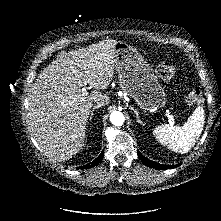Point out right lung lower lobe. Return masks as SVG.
<instances>
[{
  "label": "right lung lower lobe",
  "instance_id": "obj_1",
  "mask_svg": "<svg viewBox=\"0 0 221 221\" xmlns=\"http://www.w3.org/2000/svg\"><path fill=\"white\" fill-rule=\"evenodd\" d=\"M103 153H104V152H102V153H101L94 161H92L91 163L86 164V165H84V166H81V167H79V168L87 169V168H90V167H93V166L97 165V164L102 160V158H103Z\"/></svg>",
  "mask_w": 221,
  "mask_h": 221
}]
</instances>
